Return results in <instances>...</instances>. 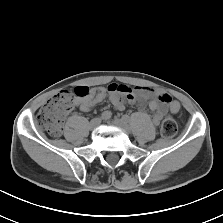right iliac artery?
Segmentation results:
<instances>
[{
	"instance_id": "82829eb1",
	"label": "right iliac artery",
	"mask_w": 223,
	"mask_h": 223,
	"mask_svg": "<svg viewBox=\"0 0 223 223\" xmlns=\"http://www.w3.org/2000/svg\"><path fill=\"white\" fill-rule=\"evenodd\" d=\"M112 116V113L110 111H104L102 114H101V118L103 120H108L110 119Z\"/></svg>"
}]
</instances>
